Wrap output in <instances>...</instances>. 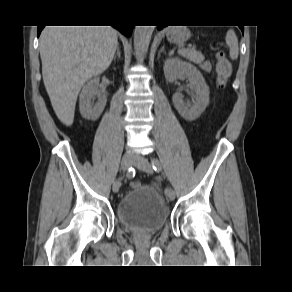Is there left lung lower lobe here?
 <instances>
[{"label":"left lung lower lobe","instance_id":"1","mask_svg":"<svg viewBox=\"0 0 292 292\" xmlns=\"http://www.w3.org/2000/svg\"><path fill=\"white\" fill-rule=\"evenodd\" d=\"M164 26L163 25H158V29H162ZM240 27V29L242 30V32L244 31V28H243V26H239Z\"/></svg>","mask_w":292,"mask_h":292}]
</instances>
